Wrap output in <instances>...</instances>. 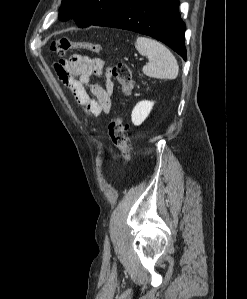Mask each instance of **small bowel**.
<instances>
[{
	"label": "small bowel",
	"instance_id": "c3829d8e",
	"mask_svg": "<svg viewBox=\"0 0 247 299\" xmlns=\"http://www.w3.org/2000/svg\"><path fill=\"white\" fill-rule=\"evenodd\" d=\"M55 69L61 82L89 115L98 117L110 112L114 86L104 60L75 54L59 60ZM92 76H105V86L92 83Z\"/></svg>",
	"mask_w": 247,
	"mask_h": 299
}]
</instances>
